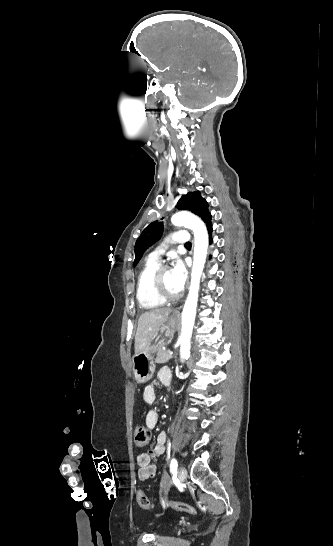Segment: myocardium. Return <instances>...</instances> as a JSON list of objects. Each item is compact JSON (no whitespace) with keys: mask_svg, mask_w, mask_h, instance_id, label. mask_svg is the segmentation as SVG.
Returning <instances> with one entry per match:
<instances>
[{"mask_svg":"<svg viewBox=\"0 0 333 546\" xmlns=\"http://www.w3.org/2000/svg\"><path fill=\"white\" fill-rule=\"evenodd\" d=\"M167 266H160L156 272L153 275L152 278V289L154 294L161 300L168 302V301H174L181 297V293L177 294H170L167 292V290L164 287L163 284V275L166 271H168Z\"/></svg>","mask_w":333,"mask_h":546,"instance_id":"f54148a6","label":"myocardium"}]
</instances>
